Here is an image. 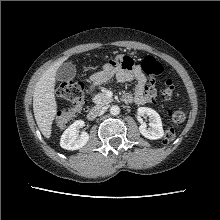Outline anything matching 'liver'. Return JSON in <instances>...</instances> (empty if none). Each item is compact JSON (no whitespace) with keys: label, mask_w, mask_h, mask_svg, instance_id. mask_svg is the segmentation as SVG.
Instances as JSON below:
<instances>
[{"label":"liver","mask_w":220,"mask_h":220,"mask_svg":"<svg viewBox=\"0 0 220 220\" xmlns=\"http://www.w3.org/2000/svg\"><path fill=\"white\" fill-rule=\"evenodd\" d=\"M67 59H62L50 66L36 83L33 94V111L37 125L44 137L50 138L52 123L57 112L55 98V77L57 69Z\"/></svg>","instance_id":"1"}]
</instances>
